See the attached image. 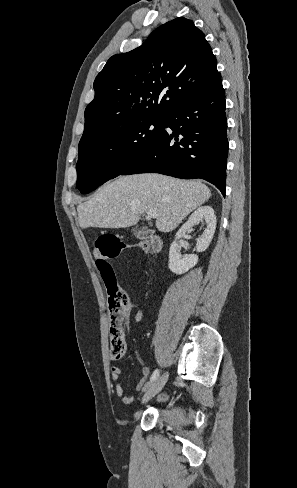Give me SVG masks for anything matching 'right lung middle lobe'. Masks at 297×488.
Wrapping results in <instances>:
<instances>
[{
    "label": "right lung middle lobe",
    "mask_w": 297,
    "mask_h": 488,
    "mask_svg": "<svg viewBox=\"0 0 297 488\" xmlns=\"http://www.w3.org/2000/svg\"><path fill=\"white\" fill-rule=\"evenodd\" d=\"M165 127L163 117H146L95 139H81L77 188L89 193L133 164Z\"/></svg>",
    "instance_id": "1"
}]
</instances>
